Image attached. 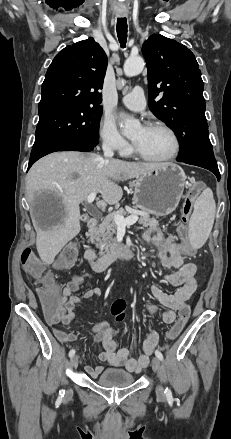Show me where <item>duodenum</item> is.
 <instances>
[{"mask_svg":"<svg viewBox=\"0 0 231 439\" xmlns=\"http://www.w3.org/2000/svg\"><path fill=\"white\" fill-rule=\"evenodd\" d=\"M99 220L95 217L90 218L87 226L90 232L98 227ZM135 255L134 247L126 244H117L107 249L102 255L98 256L93 249H87L85 258L88 260L92 269L101 272L118 259H131Z\"/></svg>","mask_w":231,"mask_h":439,"instance_id":"duodenum-1","label":"duodenum"}]
</instances>
